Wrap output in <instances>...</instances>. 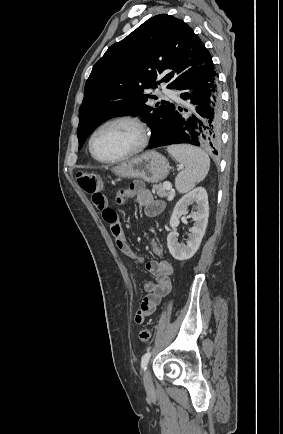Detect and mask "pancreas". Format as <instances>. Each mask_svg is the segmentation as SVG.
Listing matches in <instances>:
<instances>
[{"mask_svg": "<svg viewBox=\"0 0 283 434\" xmlns=\"http://www.w3.org/2000/svg\"><path fill=\"white\" fill-rule=\"evenodd\" d=\"M153 192H156V194L161 198L168 197L172 194L170 191L165 189L162 184L153 185Z\"/></svg>", "mask_w": 283, "mask_h": 434, "instance_id": "pancreas-1", "label": "pancreas"}]
</instances>
